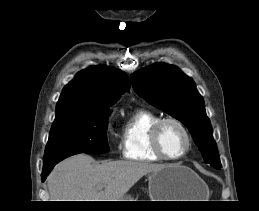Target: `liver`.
<instances>
[{"label":"liver","instance_id":"obj_1","mask_svg":"<svg viewBox=\"0 0 259 211\" xmlns=\"http://www.w3.org/2000/svg\"><path fill=\"white\" fill-rule=\"evenodd\" d=\"M164 165L136 161H103L86 154L71 156L47 178L51 201H121L144 175Z\"/></svg>","mask_w":259,"mask_h":211}]
</instances>
